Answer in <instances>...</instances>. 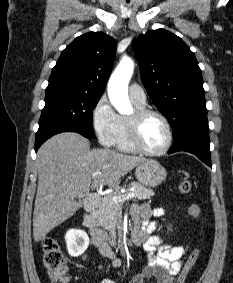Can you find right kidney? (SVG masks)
Returning a JSON list of instances; mask_svg holds the SVG:
<instances>
[{
  "mask_svg": "<svg viewBox=\"0 0 233 283\" xmlns=\"http://www.w3.org/2000/svg\"><path fill=\"white\" fill-rule=\"evenodd\" d=\"M65 240L68 253L72 257H78L83 254L89 245V237L83 230H68L65 235Z\"/></svg>",
  "mask_w": 233,
  "mask_h": 283,
  "instance_id": "right-kidney-1",
  "label": "right kidney"
}]
</instances>
